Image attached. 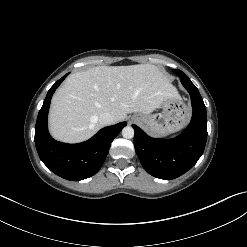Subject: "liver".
<instances>
[{
  "label": "liver",
  "instance_id": "obj_1",
  "mask_svg": "<svg viewBox=\"0 0 247 247\" xmlns=\"http://www.w3.org/2000/svg\"><path fill=\"white\" fill-rule=\"evenodd\" d=\"M180 97L156 66H97L70 75L54 94L49 129L60 141L76 143L93 136L102 125L99 116L114 115V123L128 113L150 114L167 98Z\"/></svg>",
  "mask_w": 247,
  "mask_h": 247
}]
</instances>
